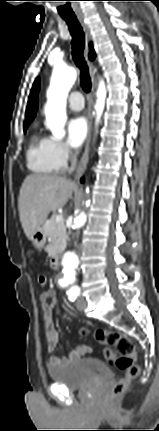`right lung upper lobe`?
<instances>
[{
  "instance_id": "1",
  "label": "right lung upper lobe",
  "mask_w": 159,
  "mask_h": 431,
  "mask_svg": "<svg viewBox=\"0 0 159 431\" xmlns=\"http://www.w3.org/2000/svg\"><path fill=\"white\" fill-rule=\"evenodd\" d=\"M95 57V53L93 49L91 48V52L89 54V58L93 60ZM38 89H39V79H37L31 89L30 96L28 98V105L26 108V114H25V122L24 126H27L35 117L37 105H38Z\"/></svg>"
}]
</instances>
